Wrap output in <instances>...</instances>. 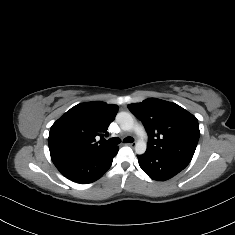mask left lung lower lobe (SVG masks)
Wrapping results in <instances>:
<instances>
[{
  "instance_id": "1",
  "label": "left lung lower lobe",
  "mask_w": 235,
  "mask_h": 235,
  "mask_svg": "<svg viewBox=\"0 0 235 235\" xmlns=\"http://www.w3.org/2000/svg\"><path fill=\"white\" fill-rule=\"evenodd\" d=\"M142 170L153 180L165 181L181 172L189 162L175 156L158 154L146 150L138 155Z\"/></svg>"
}]
</instances>
